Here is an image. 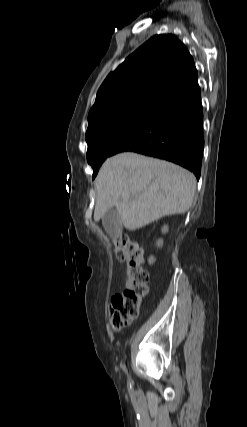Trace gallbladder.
I'll list each match as a JSON object with an SVG mask.
<instances>
[{
	"label": "gallbladder",
	"mask_w": 247,
	"mask_h": 427,
	"mask_svg": "<svg viewBox=\"0 0 247 427\" xmlns=\"http://www.w3.org/2000/svg\"><path fill=\"white\" fill-rule=\"evenodd\" d=\"M102 224L109 236L117 238L121 235L122 222L116 208H110L105 212L102 217Z\"/></svg>",
	"instance_id": "obj_1"
}]
</instances>
